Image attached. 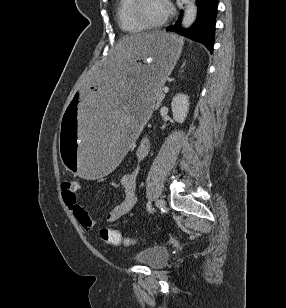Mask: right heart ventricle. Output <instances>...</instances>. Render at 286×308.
Masks as SVG:
<instances>
[{
    "mask_svg": "<svg viewBox=\"0 0 286 308\" xmlns=\"http://www.w3.org/2000/svg\"><path fill=\"white\" fill-rule=\"evenodd\" d=\"M133 0H119L116 10L117 22L120 29L128 34H136L144 31L130 15V8Z\"/></svg>",
    "mask_w": 286,
    "mask_h": 308,
    "instance_id": "obj_1",
    "label": "right heart ventricle"
}]
</instances>
